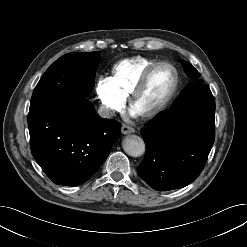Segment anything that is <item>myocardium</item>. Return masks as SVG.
I'll list each match as a JSON object with an SVG mask.
<instances>
[{
	"label": "myocardium",
	"instance_id": "1",
	"mask_svg": "<svg viewBox=\"0 0 247 247\" xmlns=\"http://www.w3.org/2000/svg\"><path fill=\"white\" fill-rule=\"evenodd\" d=\"M162 65L169 66L174 72V82H173L172 88L169 91L168 95L165 97V99L156 108H154L153 110H151L147 113L140 115V117L143 119L153 118V117L157 116L158 114H160L162 111H164L166 109V107L170 104V102L172 101V99L174 98V96L178 90V87L180 84V74H179L178 69L169 61H157V62L153 63L152 65H150L149 67H147L142 72L139 79L137 80V82L133 86L132 90L130 91V93L128 95L129 108L132 109V106H133L135 99L143 91L144 87L146 86V84H147L151 74L154 72V70H156L159 66H162Z\"/></svg>",
	"mask_w": 247,
	"mask_h": 247
}]
</instances>
